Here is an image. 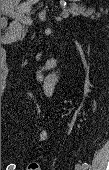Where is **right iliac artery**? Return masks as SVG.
I'll list each match as a JSON object with an SVG mask.
<instances>
[{
  "instance_id": "82829eb1",
  "label": "right iliac artery",
  "mask_w": 109,
  "mask_h": 170,
  "mask_svg": "<svg viewBox=\"0 0 109 170\" xmlns=\"http://www.w3.org/2000/svg\"><path fill=\"white\" fill-rule=\"evenodd\" d=\"M16 165L15 164H10L7 166L6 170H15Z\"/></svg>"
}]
</instances>
